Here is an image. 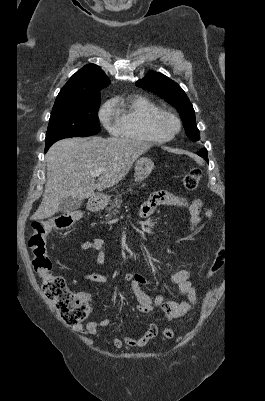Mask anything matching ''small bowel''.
Returning <instances> with one entry per match:
<instances>
[{
	"instance_id": "1",
	"label": "small bowel",
	"mask_w": 265,
	"mask_h": 401,
	"mask_svg": "<svg viewBox=\"0 0 265 401\" xmlns=\"http://www.w3.org/2000/svg\"><path fill=\"white\" fill-rule=\"evenodd\" d=\"M167 205L172 207H184L190 213V228L196 229L202 218L210 219L212 211L201 200L196 199L188 201L182 197L174 195L168 191H158L153 193L149 199L141 206L140 216L147 218L151 216L157 207ZM80 251L94 250L97 252L96 263L98 266H103L105 263V242L102 238H95L92 241H87L81 244ZM192 272L188 269H182L174 272L168 277V282L173 286L175 293L178 296H187V302H176L167 300L159 295L151 298L143 290L142 286L149 284V281L138 272H128L124 275V280L131 284L133 295L137 301L138 310L142 313L149 314L153 312L155 307H160L167 319L172 320L183 316L196 303L197 291L191 282ZM84 278L91 282L105 284L108 278L99 273H89ZM80 297L89 300L88 294H80ZM111 323L110 319H102L98 322H89L86 325H80L76 329L85 334L96 335L100 329L108 327ZM158 334V328L152 324L147 331L140 337L119 336L108 341L116 348L123 345L130 347H145ZM164 336V335H163ZM165 337V336H164Z\"/></svg>"
}]
</instances>
